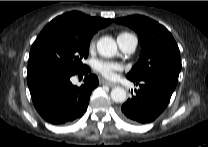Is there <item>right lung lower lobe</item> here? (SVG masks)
Returning a JSON list of instances; mask_svg holds the SVG:
<instances>
[{
	"instance_id": "98d812e1",
	"label": "right lung lower lobe",
	"mask_w": 208,
	"mask_h": 147,
	"mask_svg": "<svg viewBox=\"0 0 208 147\" xmlns=\"http://www.w3.org/2000/svg\"><path fill=\"white\" fill-rule=\"evenodd\" d=\"M87 66L80 71L42 69L28 72L27 83L34 106L43 119L52 124L70 123L87 109L89 97L98 86V78L88 75ZM85 75L84 84L72 85L70 77Z\"/></svg>"
}]
</instances>
